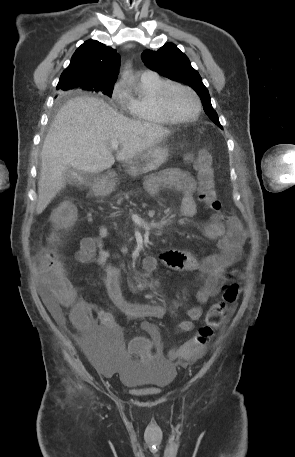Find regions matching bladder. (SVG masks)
Listing matches in <instances>:
<instances>
[{"instance_id": "bladder-1", "label": "bladder", "mask_w": 295, "mask_h": 457, "mask_svg": "<svg viewBox=\"0 0 295 457\" xmlns=\"http://www.w3.org/2000/svg\"><path fill=\"white\" fill-rule=\"evenodd\" d=\"M81 356L102 372H116L121 383L134 390L154 391L168 385L175 376L171 358L166 355L162 345L153 348L152 366H132L131 358L120 355L121 338H77Z\"/></svg>"}]
</instances>
